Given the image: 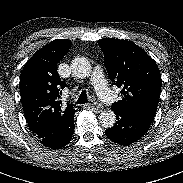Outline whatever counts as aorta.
I'll use <instances>...</instances> for the list:
<instances>
[{"label": "aorta", "mask_w": 183, "mask_h": 183, "mask_svg": "<svg viewBox=\"0 0 183 183\" xmlns=\"http://www.w3.org/2000/svg\"><path fill=\"white\" fill-rule=\"evenodd\" d=\"M72 73L77 77L84 79L91 73L90 62L84 57H76L71 62ZM99 122L104 128H111L116 122V115L113 111H103L99 116Z\"/></svg>", "instance_id": "762f6f07"}]
</instances>
